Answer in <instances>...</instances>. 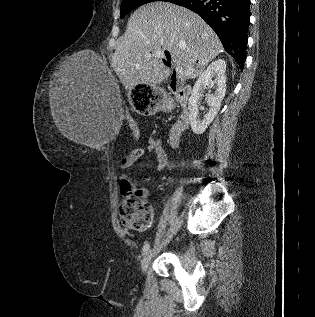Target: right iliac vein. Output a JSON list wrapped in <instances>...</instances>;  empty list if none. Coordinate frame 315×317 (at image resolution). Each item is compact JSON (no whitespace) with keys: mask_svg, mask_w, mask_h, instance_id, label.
Masks as SVG:
<instances>
[{"mask_svg":"<svg viewBox=\"0 0 315 317\" xmlns=\"http://www.w3.org/2000/svg\"><path fill=\"white\" fill-rule=\"evenodd\" d=\"M152 255H153V251L152 250H148L143 258H142V261H141V269H142V272H145L150 264V261H151V258H152Z\"/></svg>","mask_w":315,"mask_h":317,"instance_id":"63e3f726","label":"right iliac vein"}]
</instances>
